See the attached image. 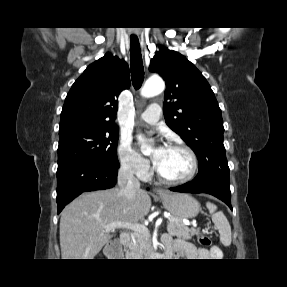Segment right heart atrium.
<instances>
[{
	"instance_id": "d8ad5b80",
	"label": "right heart atrium",
	"mask_w": 287,
	"mask_h": 287,
	"mask_svg": "<svg viewBox=\"0 0 287 287\" xmlns=\"http://www.w3.org/2000/svg\"><path fill=\"white\" fill-rule=\"evenodd\" d=\"M118 157L122 167L140 179H147L151 173V166L147 159L142 157L131 145L122 139L118 145Z\"/></svg>"
}]
</instances>
